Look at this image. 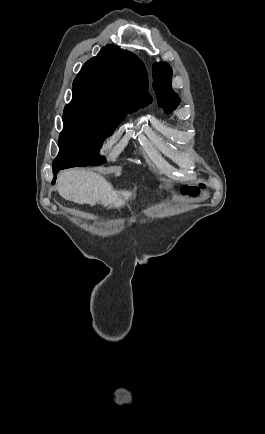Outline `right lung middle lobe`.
Returning a JSON list of instances; mask_svg holds the SVG:
<instances>
[{
  "label": "right lung middle lobe",
  "mask_w": 265,
  "mask_h": 434,
  "mask_svg": "<svg viewBox=\"0 0 265 434\" xmlns=\"http://www.w3.org/2000/svg\"><path fill=\"white\" fill-rule=\"evenodd\" d=\"M139 107L108 99L95 90L73 89V99L64 109V129L53 168L102 164L105 159L99 156V149L103 141L126 113Z\"/></svg>",
  "instance_id": "right-lung-middle-lobe-1"
}]
</instances>
